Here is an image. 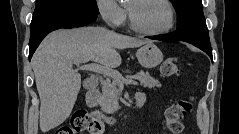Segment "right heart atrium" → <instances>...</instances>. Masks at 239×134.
I'll return each mask as SVG.
<instances>
[{"mask_svg":"<svg viewBox=\"0 0 239 134\" xmlns=\"http://www.w3.org/2000/svg\"><path fill=\"white\" fill-rule=\"evenodd\" d=\"M97 10L109 26L118 27L125 21L126 12L115 0H97Z\"/></svg>","mask_w":239,"mask_h":134,"instance_id":"obj_1","label":"right heart atrium"}]
</instances>
